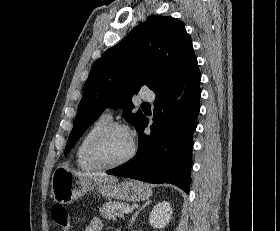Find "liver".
Returning a JSON list of instances; mask_svg holds the SVG:
<instances>
[{
  "instance_id": "6515ba94",
  "label": "liver",
  "mask_w": 280,
  "mask_h": 231,
  "mask_svg": "<svg viewBox=\"0 0 280 231\" xmlns=\"http://www.w3.org/2000/svg\"><path fill=\"white\" fill-rule=\"evenodd\" d=\"M75 175H82V177H89V179H95V181H118L117 177L114 175H104V173H99V171H73Z\"/></svg>"
}]
</instances>
